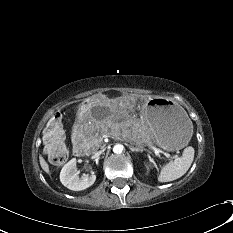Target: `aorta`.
<instances>
[{"label":"aorta","mask_w":233,"mask_h":233,"mask_svg":"<svg viewBox=\"0 0 233 233\" xmlns=\"http://www.w3.org/2000/svg\"><path fill=\"white\" fill-rule=\"evenodd\" d=\"M124 150V146L122 144H116L114 147H113V152L115 154H121Z\"/></svg>","instance_id":"762f6f07"}]
</instances>
